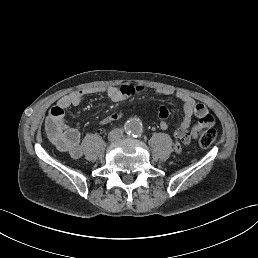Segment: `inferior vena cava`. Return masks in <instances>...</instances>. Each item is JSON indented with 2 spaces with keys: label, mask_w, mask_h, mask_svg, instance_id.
I'll return each mask as SVG.
<instances>
[{
  "label": "inferior vena cava",
  "mask_w": 258,
  "mask_h": 258,
  "mask_svg": "<svg viewBox=\"0 0 258 258\" xmlns=\"http://www.w3.org/2000/svg\"><path fill=\"white\" fill-rule=\"evenodd\" d=\"M121 135H122V130L116 129L115 131L113 130L110 132L109 139L110 140H119Z\"/></svg>",
  "instance_id": "obj_1"
}]
</instances>
